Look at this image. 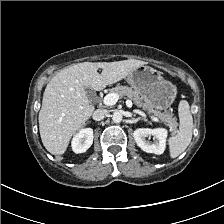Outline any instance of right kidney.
<instances>
[{"instance_id":"1","label":"right kidney","mask_w":224,"mask_h":224,"mask_svg":"<svg viewBox=\"0 0 224 224\" xmlns=\"http://www.w3.org/2000/svg\"><path fill=\"white\" fill-rule=\"evenodd\" d=\"M93 143V129L83 128L72 139L71 146L75 153L86 152Z\"/></svg>"}]
</instances>
